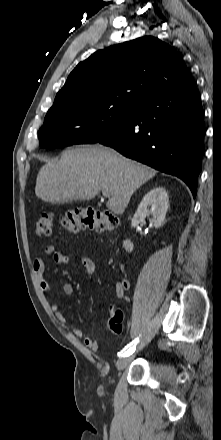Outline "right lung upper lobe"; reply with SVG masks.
Returning a JSON list of instances; mask_svg holds the SVG:
<instances>
[{
  "label": "right lung upper lobe",
  "mask_w": 221,
  "mask_h": 440,
  "mask_svg": "<svg viewBox=\"0 0 221 440\" xmlns=\"http://www.w3.org/2000/svg\"><path fill=\"white\" fill-rule=\"evenodd\" d=\"M190 82L179 54L161 40L145 36L99 50L80 62L50 110L74 104L135 107Z\"/></svg>",
  "instance_id": "cb5924a9"
}]
</instances>
